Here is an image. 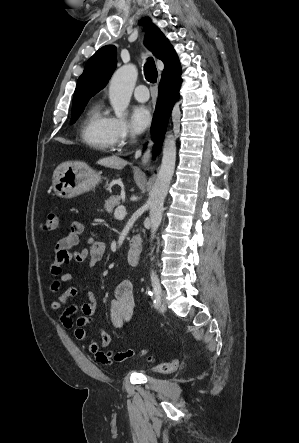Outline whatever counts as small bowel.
Here are the masks:
<instances>
[{"label":"small bowel","mask_w":299,"mask_h":443,"mask_svg":"<svg viewBox=\"0 0 299 443\" xmlns=\"http://www.w3.org/2000/svg\"><path fill=\"white\" fill-rule=\"evenodd\" d=\"M85 224L82 221L72 222L67 234L60 238L54 249V261L50 267V274L54 277L50 285L52 293H59L53 300L50 308L54 312L61 311L60 320L62 325L74 332L75 338L87 344L89 352L96 361L104 365L121 363L134 355V350L129 348L125 351H104L111 342L110 335L100 330L98 342L90 339L85 326L92 322L96 308V296L93 291H87L88 302L83 304H68L70 298L78 294L74 286L61 291L62 287L75 277L73 271H64L63 265L71 262H85L89 268H94L104 257L106 252L105 243L99 239L96 233L86 237L87 245L79 251H71L76 247L84 235ZM135 306L133 284L129 279L120 281L115 287L114 298L109 305V319L116 328L124 327L132 318ZM77 313L80 315L74 317Z\"/></svg>","instance_id":"small-bowel-1"}]
</instances>
